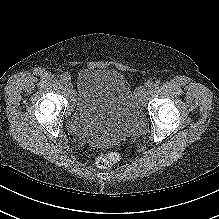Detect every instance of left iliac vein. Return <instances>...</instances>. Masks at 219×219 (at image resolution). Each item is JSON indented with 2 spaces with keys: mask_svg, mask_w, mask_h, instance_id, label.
Returning <instances> with one entry per match:
<instances>
[{
  "mask_svg": "<svg viewBox=\"0 0 219 219\" xmlns=\"http://www.w3.org/2000/svg\"><path fill=\"white\" fill-rule=\"evenodd\" d=\"M150 93H151L150 90L145 89L144 87H139L136 90V99L140 103H145L148 100Z\"/></svg>",
  "mask_w": 219,
  "mask_h": 219,
  "instance_id": "4c4485c4",
  "label": "left iliac vein"
}]
</instances>
